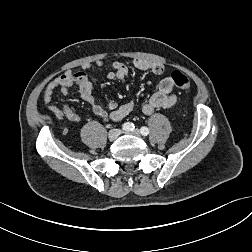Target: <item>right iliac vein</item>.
I'll list each match as a JSON object with an SVG mask.
<instances>
[{
	"label": "right iliac vein",
	"instance_id": "right-iliac-vein-1",
	"mask_svg": "<svg viewBox=\"0 0 252 252\" xmlns=\"http://www.w3.org/2000/svg\"><path fill=\"white\" fill-rule=\"evenodd\" d=\"M121 134V131L119 129H112L108 133V138L110 140H115L118 138V136Z\"/></svg>",
	"mask_w": 252,
	"mask_h": 252
}]
</instances>
